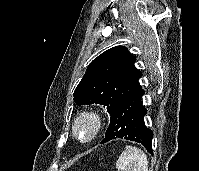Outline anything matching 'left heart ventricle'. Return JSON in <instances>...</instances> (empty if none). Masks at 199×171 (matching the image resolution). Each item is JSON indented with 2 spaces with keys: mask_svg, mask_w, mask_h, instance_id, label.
Here are the masks:
<instances>
[{
  "mask_svg": "<svg viewBox=\"0 0 199 171\" xmlns=\"http://www.w3.org/2000/svg\"><path fill=\"white\" fill-rule=\"evenodd\" d=\"M89 132H90V127L89 125L87 124H82L80 127H79V133H80V136L85 138L89 135Z\"/></svg>",
  "mask_w": 199,
  "mask_h": 171,
  "instance_id": "b2bd125f",
  "label": "left heart ventricle"
}]
</instances>
